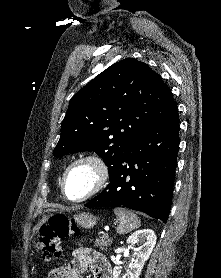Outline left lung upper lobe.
<instances>
[{
    "label": "left lung upper lobe",
    "mask_w": 221,
    "mask_h": 278,
    "mask_svg": "<svg viewBox=\"0 0 221 278\" xmlns=\"http://www.w3.org/2000/svg\"><path fill=\"white\" fill-rule=\"evenodd\" d=\"M174 103L168 86L147 64L121 60L70 100L53 155L94 151L110 174L124 150Z\"/></svg>",
    "instance_id": "1"
}]
</instances>
